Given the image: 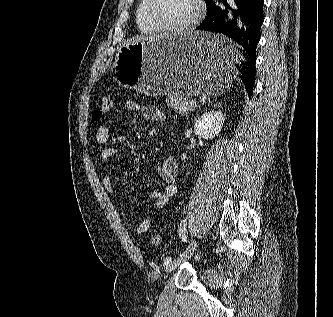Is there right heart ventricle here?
<instances>
[{
    "instance_id": "obj_1",
    "label": "right heart ventricle",
    "mask_w": 333,
    "mask_h": 317,
    "mask_svg": "<svg viewBox=\"0 0 333 317\" xmlns=\"http://www.w3.org/2000/svg\"><path fill=\"white\" fill-rule=\"evenodd\" d=\"M146 0H140L136 10V23L139 30L145 34H155L159 30L150 22L146 15Z\"/></svg>"
}]
</instances>
